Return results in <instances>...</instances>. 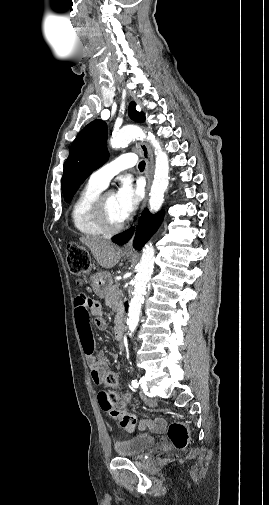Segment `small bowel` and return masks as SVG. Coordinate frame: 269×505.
Segmentation results:
<instances>
[{
    "instance_id": "c3829d8e",
    "label": "small bowel",
    "mask_w": 269,
    "mask_h": 505,
    "mask_svg": "<svg viewBox=\"0 0 269 505\" xmlns=\"http://www.w3.org/2000/svg\"><path fill=\"white\" fill-rule=\"evenodd\" d=\"M79 295L82 298L77 297L75 300L77 329L84 352L90 360L92 379L96 384H101L108 365L104 353H95L90 317L91 315L95 317L94 325L99 330H105L107 323L102 317L101 307L94 302L93 298H83L86 295L83 291ZM139 428L142 430L149 428L155 432H163L166 428V421L162 418L143 419L139 422Z\"/></svg>"
}]
</instances>
